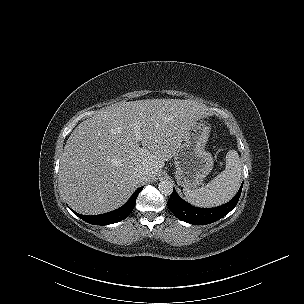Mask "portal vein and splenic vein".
<instances>
[{
    "mask_svg": "<svg viewBox=\"0 0 304 304\" xmlns=\"http://www.w3.org/2000/svg\"><path fill=\"white\" fill-rule=\"evenodd\" d=\"M140 127H141V124H135L134 125V132H135V136L137 139H139L141 137L140 135Z\"/></svg>",
    "mask_w": 304,
    "mask_h": 304,
    "instance_id": "1",
    "label": "portal vein and splenic vein"
}]
</instances>
